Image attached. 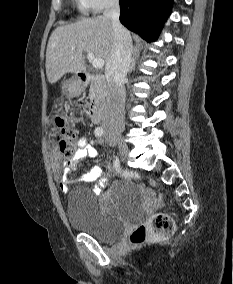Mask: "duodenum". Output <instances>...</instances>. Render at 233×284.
<instances>
[{"label": "duodenum", "mask_w": 233, "mask_h": 284, "mask_svg": "<svg viewBox=\"0 0 233 284\" xmlns=\"http://www.w3.org/2000/svg\"><path fill=\"white\" fill-rule=\"evenodd\" d=\"M77 85L87 86L91 84L95 91V100L89 108V117L94 123H100L104 117L107 99V79L102 74H91L86 71H80L77 74Z\"/></svg>", "instance_id": "obj_1"}]
</instances>
